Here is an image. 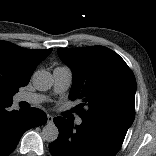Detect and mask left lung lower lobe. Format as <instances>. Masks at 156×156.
<instances>
[{
    "mask_svg": "<svg viewBox=\"0 0 156 156\" xmlns=\"http://www.w3.org/2000/svg\"><path fill=\"white\" fill-rule=\"evenodd\" d=\"M58 138L50 143L52 156H115L128 128L114 121L82 120L81 125L63 117L54 118Z\"/></svg>",
    "mask_w": 156,
    "mask_h": 156,
    "instance_id": "1",
    "label": "left lung lower lobe"
}]
</instances>
